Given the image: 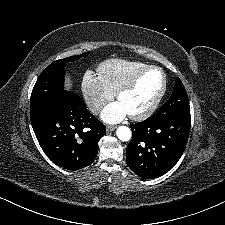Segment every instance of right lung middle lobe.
<instances>
[{
  "instance_id": "right-lung-middle-lobe-1",
  "label": "right lung middle lobe",
  "mask_w": 225,
  "mask_h": 225,
  "mask_svg": "<svg viewBox=\"0 0 225 225\" xmlns=\"http://www.w3.org/2000/svg\"><path fill=\"white\" fill-rule=\"evenodd\" d=\"M89 52L82 55L70 56L51 63L38 77L32 90L30 108H34L46 100L64 93V76L66 62L77 61L82 56L87 57Z\"/></svg>"
}]
</instances>
